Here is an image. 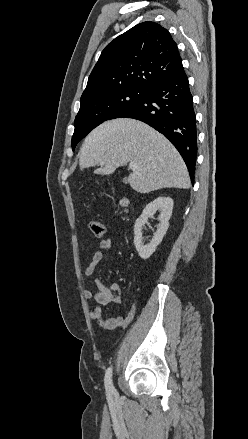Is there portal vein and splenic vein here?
Returning <instances> with one entry per match:
<instances>
[{
    "label": "portal vein and splenic vein",
    "instance_id": "obj_1",
    "mask_svg": "<svg viewBox=\"0 0 248 439\" xmlns=\"http://www.w3.org/2000/svg\"><path fill=\"white\" fill-rule=\"evenodd\" d=\"M101 165H104V163H101ZM129 168L132 170H137L139 169L138 165L134 162L129 163Z\"/></svg>",
    "mask_w": 248,
    "mask_h": 439
}]
</instances>
